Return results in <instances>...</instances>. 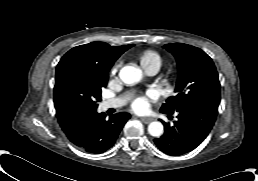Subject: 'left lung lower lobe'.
I'll return each instance as SVG.
<instances>
[{
    "instance_id": "1",
    "label": "left lung lower lobe",
    "mask_w": 258,
    "mask_h": 181,
    "mask_svg": "<svg viewBox=\"0 0 258 181\" xmlns=\"http://www.w3.org/2000/svg\"><path fill=\"white\" fill-rule=\"evenodd\" d=\"M177 113L174 126L163 122L164 135L154 139L158 149L171 156L192 151L207 137L216 120L218 107L195 106Z\"/></svg>"
}]
</instances>
